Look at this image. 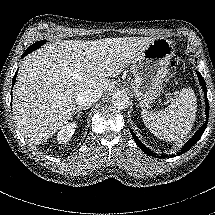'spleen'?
Wrapping results in <instances>:
<instances>
[{
  "mask_svg": "<svg viewBox=\"0 0 215 215\" xmlns=\"http://www.w3.org/2000/svg\"><path fill=\"white\" fill-rule=\"evenodd\" d=\"M195 110L194 93L184 87L165 109L149 111L143 108L141 116L146 127L159 139L177 141L184 138L193 126Z\"/></svg>",
  "mask_w": 215,
  "mask_h": 215,
  "instance_id": "3e777b00",
  "label": "spleen"
}]
</instances>
